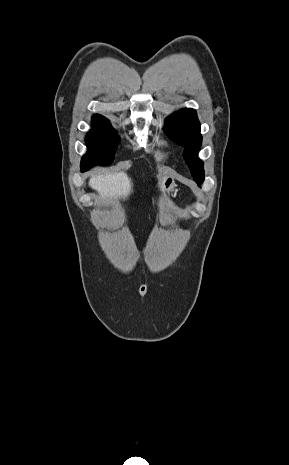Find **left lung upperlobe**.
Listing matches in <instances>:
<instances>
[{
    "mask_svg": "<svg viewBox=\"0 0 289 465\" xmlns=\"http://www.w3.org/2000/svg\"><path fill=\"white\" fill-rule=\"evenodd\" d=\"M165 133L185 148L184 158L194 180L200 184L204 180L203 162L197 158L201 146L200 123L194 109H181L166 118Z\"/></svg>",
    "mask_w": 289,
    "mask_h": 465,
    "instance_id": "left-lung-upper-lobe-1",
    "label": "left lung upper lobe"
}]
</instances>
